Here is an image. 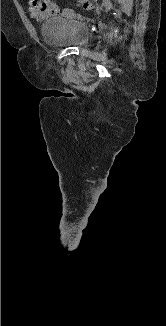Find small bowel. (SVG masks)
I'll use <instances>...</instances> for the list:
<instances>
[{"label": "small bowel", "mask_w": 166, "mask_h": 326, "mask_svg": "<svg viewBox=\"0 0 166 326\" xmlns=\"http://www.w3.org/2000/svg\"><path fill=\"white\" fill-rule=\"evenodd\" d=\"M27 12L33 19L43 20L57 15L60 8L54 0H28Z\"/></svg>", "instance_id": "1"}]
</instances>
